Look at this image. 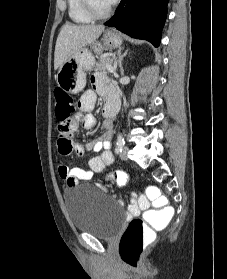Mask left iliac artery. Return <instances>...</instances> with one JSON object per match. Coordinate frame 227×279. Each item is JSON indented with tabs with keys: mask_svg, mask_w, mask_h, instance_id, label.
I'll list each match as a JSON object with an SVG mask.
<instances>
[{
	"mask_svg": "<svg viewBox=\"0 0 227 279\" xmlns=\"http://www.w3.org/2000/svg\"><path fill=\"white\" fill-rule=\"evenodd\" d=\"M124 145H125L124 138L121 133H118L115 152L116 153L122 152Z\"/></svg>",
	"mask_w": 227,
	"mask_h": 279,
	"instance_id": "44dca946",
	"label": "left iliac artery"
}]
</instances>
